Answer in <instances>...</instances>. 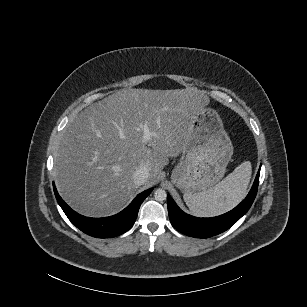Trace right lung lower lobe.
Here are the masks:
<instances>
[{
    "mask_svg": "<svg viewBox=\"0 0 307 307\" xmlns=\"http://www.w3.org/2000/svg\"><path fill=\"white\" fill-rule=\"evenodd\" d=\"M56 199L69 220L84 233L97 238L116 237L129 230L138 214L141 203L153 190L140 193L131 204L120 213L105 218H88L72 210L59 196L53 184Z\"/></svg>",
    "mask_w": 307,
    "mask_h": 307,
    "instance_id": "98d812e1",
    "label": "right lung lower lobe"
}]
</instances>
